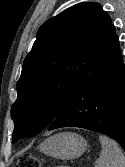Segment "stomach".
<instances>
[{
	"label": "stomach",
	"instance_id": "obj_1",
	"mask_svg": "<svg viewBox=\"0 0 125 167\" xmlns=\"http://www.w3.org/2000/svg\"><path fill=\"white\" fill-rule=\"evenodd\" d=\"M44 154L63 160L80 157L87 149V141L76 133L64 132L44 140L40 146Z\"/></svg>",
	"mask_w": 125,
	"mask_h": 167
}]
</instances>
